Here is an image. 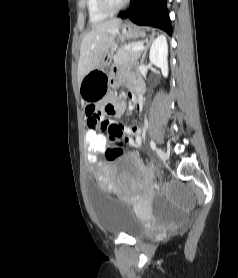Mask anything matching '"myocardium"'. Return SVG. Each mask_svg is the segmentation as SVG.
<instances>
[{
	"instance_id": "1",
	"label": "myocardium",
	"mask_w": 238,
	"mask_h": 278,
	"mask_svg": "<svg viewBox=\"0 0 238 278\" xmlns=\"http://www.w3.org/2000/svg\"><path fill=\"white\" fill-rule=\"evenodd\" d=\"M128 1L122 0L119 3H113L111 0H97L99 9L108 15L120 11Z\"/></svg>"
}]
</instances>
